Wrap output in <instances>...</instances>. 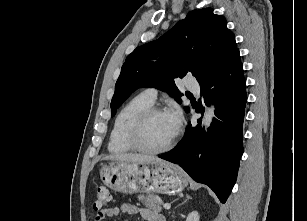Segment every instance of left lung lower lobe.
Segmentation results:
<instances>
[{
	"instance_id": "1",
	"label": "left lung lower lobe",
	"mask_w": 307,
	"mask_h": 221,
	"mask_svg": "<svg viewBox=\"0 0 307 221\" xmlns=\"http://www.w3.org/2000/svg\"><path fill=\"white\" fill-rule=\"evenodd\" d=\"M201 86L203 103L214 100L215 115L207 133L189 124L178 146L159 157L178 164L196 182L208 185L225 203L236 182L243 154L242 126L247 101L246 81L239 51ZM196 112H204V107Z\"/></svg>"
}]
</instances>
